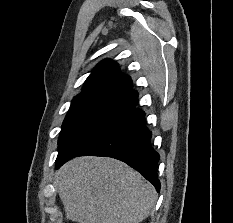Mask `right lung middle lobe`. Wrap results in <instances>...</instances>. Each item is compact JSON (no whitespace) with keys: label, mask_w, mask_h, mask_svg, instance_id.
Wrapping results in <instances>:
<instances>
[{"label":"right lung middle lobe","mask_w":233,"mask_h":223,"mask_svg":"<svg viewBox=\"0 0 233 223\" xmlns=\"http://www.w3.org/2000/svg\"><path fill=\"white\" fill-rule=\"evenodd\" d=\"M123 94L96 93L77 96L62 125L59 155L83 151L125 110Z\"/></svg>","instance_id":"1"}]
</instances>
